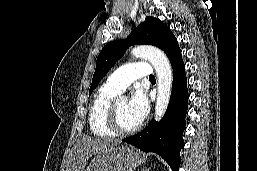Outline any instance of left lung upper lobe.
<instances>
[{
	"label": "left lung upper lobe",
	"instance_id": "1",
	"mask_svg": "<svg viewBox=\"0 0 257 171\" xmlns=\"http://www.w3.org/2000/svg\"><path fill=\"white\" fill-rule=\"evenodd\" d=\"M134 44L154 45L163 50L168 57L179 50L177 40L169 27L159 19L148 16L125 40L113 41L104 46L97 57L89 95L116 61L120 59L125 50Z\"/></svg>",
	"mask_w": 257,
	"mask_h": 171
}]
</instances>
